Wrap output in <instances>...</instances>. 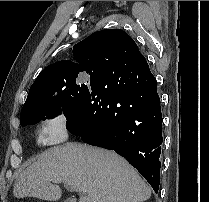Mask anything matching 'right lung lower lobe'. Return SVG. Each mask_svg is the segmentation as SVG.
Masks as SVG:
<instances>
[{
    "instance_id": "obj_1",
    "label": "right lung lower lobe",
    "mask_w": 209,
    "mask_h": 202,
    "mask_svg": "<svg viewBox=\"0 0 209 202\" xmlns=\"http://www.w3.org/2000/svg\"><path fill=\"white\" fill-rule=\"evenodd\" d=\"M156 87L145 57L136 58L125 75L97 78L81 112L67 120L66 128L87 144L123 156L158 193L163 119Z\"/></svg>"
}]
</instances>
